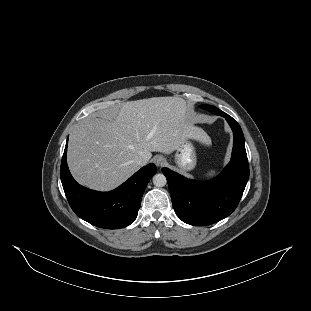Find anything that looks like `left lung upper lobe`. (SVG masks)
Returning a JSON list of instances; mask_svg holds the SVG:
<instances>
[{
  "instance_id": "5c2ea615",
  "label": "left lung upper lobe",
  "mask_w": 311,
  "mask_h": 311,
  "mask_svg": "<svg viewBox=\"0 0 311 311\" xmlns=\"http://www.w3.org/2000/svg\"><path fill=\"white\" fill-rule=\"evenodd\" d=\"M202 109H205L207 111H210L216 115H220L221 114V110H219L218 108H216L215 106L212 105H201L200 106Z\"/></svg>"
}]
</instances>
